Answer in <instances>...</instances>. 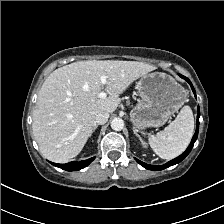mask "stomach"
<instances>
[{
	"instance_id": "stomach-1",
	"label": "stomach",
	"mask_w": 224,
	"mask_h": 224,
	"mask_svg": "<svg viewBox=\"0 0 224 224\" xmlns=\"http://www.w3.org/2000/svg\"><path fill=\"white\" fill-rule=\"evenodd\" d=\"M140 99L131 110L134 128L139 130L164 125L186 101L187 92L172 76L147 73L136 85Z\"/></svg>"
}]
</instances>
